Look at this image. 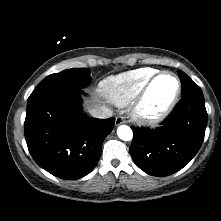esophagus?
Wrapping results in <instances>:
<instances>
[{
  "label": "esophagus",
  "instance_id": "1",
  "mask_svg": "<svg viewBox=\"0 0 221 221\" xmlns=\"http://www.w3.org/2000/svg\"><path fill=\"white\" fill-rule=\"evenodd\" d=\"M125 122H126V120H125V118L123 116H118L115 119V125L116 126L124 124Z\"/></svg>",
  "mask_w": 221,
  "mask_h": 221
}]
</instances>
